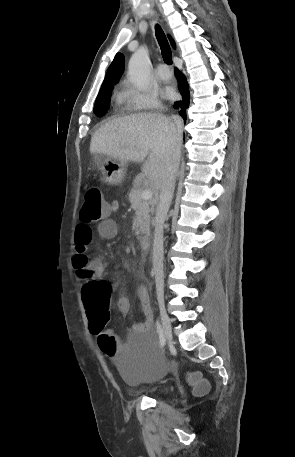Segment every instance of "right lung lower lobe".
Wrapping results in <instances>:
<instances>
[{
    "label": "right lung lower lobe",
    "mask_w": 295,
    "mask_h": 457,
    "mask_svg": "<svg viewBox=\"0 0 295 457\" xmlns=\"http://www.w3.org/2000/svg\"><path fill=\"white\" fill-rule=\"evenodd\" d=\"M175 74L179 83L178 88L182 95V100L175 102L174 107L179 109V114L186 121V110L190 103L189 87L186 78L181 75L178 68H175Z\"/></svg>",
    "instance_id": "right-lung-lower-lobe-1"
}]
</instances>
